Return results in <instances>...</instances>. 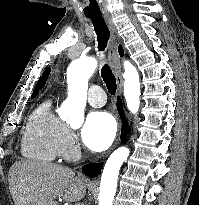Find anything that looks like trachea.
Wrapping results in <instances>:
<instances>
[{
    "instance_id": "obj_1",
    "label": "trachea",
    "mask_w": 199,
    "mask_h": 205,
    "mask_svg": "<svg viewBox=\"0 0 199 205\" xmlns=\"http://www.w3.org/2000/svg\"><path fill=\"white\" fill-rule=\"evenodd\" d=\"M93 23L95 33L97 35L98 49L99 51H104L107 47V42L109 40L110 32L103 19V17H89ZM101 77L111 95L116 93L117 84L116 78L108 64H104L101 68Z\"/></svg>"
}]
</instances>
